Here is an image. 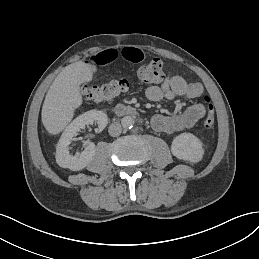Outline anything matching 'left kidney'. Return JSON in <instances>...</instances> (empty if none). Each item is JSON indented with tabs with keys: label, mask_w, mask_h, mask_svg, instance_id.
Masks as SVG:
<instances>
[{
	"label": "left kidney",
	"mask_w": 259,
	"mask_h": 259,
	"mask_svg": "<svg viewBox=\"0 0 259 259\" xmlns=\"http://www.w3.org/2000/svg\"><path fill=\"white\" fill-rule=\"evenodd\" d=\"M171 152L175 157L191 163L201 161L204 155L202 142L191 133H182L175 137Z\"/></svg>",
	"instance_id": "1"
}]
</instances>
